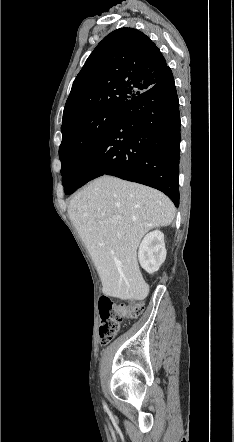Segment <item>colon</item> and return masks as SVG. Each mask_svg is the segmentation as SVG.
I'll use <instances>...</instances> for the list:
<instances>
[{"mask_svg":"<svg viewBox=\"0 0 234 442\" xmlns=\"http://www.w3.org/2000/svg\"><path fill=\"white\" fill-rule=\"evenodd\" d=\"M101 325L99 328L102 344L109 343L119 332L124 319H135L144 310V302L141 300L130 301L127 305H116L109 298H102L99 302Z\"/></svg>","mask_w":234,"mask_h":442,"instance_id":"colon-1","label":"colon"}]
</instances>
